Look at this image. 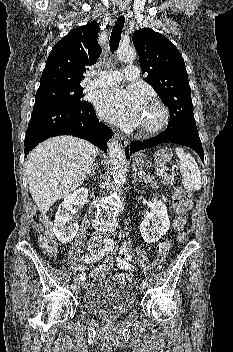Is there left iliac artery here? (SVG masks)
<instances>
[{"instance_id":"1","label":"left iliac artery","mask_w":233,"mask_h":352,"mask_svg":"<svg viewBox=\"0 0 233 352\" xmlns=\"http://www.w3.org/2000/svg\"><path fill=\"white\" fill-rule=\"evenodd\" d=\"M113 249H114V246L110 247L109 252H112ZM142 285L146 287V286L148 285L147 281H146V280H143V281H142Z\"/></svg>"}]
</instances>
